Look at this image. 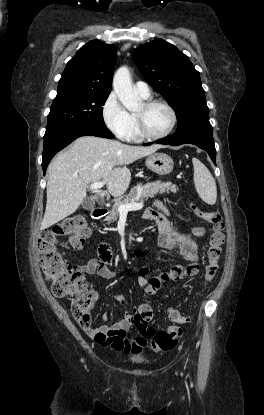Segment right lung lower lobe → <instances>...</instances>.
I'll return each mask as SVG.
<instances>
[{"label": "right lung lower lobe", "mask_w": 264, "mask_h": 415, "mask_svg": "<svg viewBox=\"0 0 264 415\" xmlns=\"http://www.w3.org/2000/svg\"><path fill=\"white\" fill-rule=\"evenodd\" d=\"M86 135H93L109 139L114 138V135L110 132L106 125H80L45 137L42 154V167L44 175L46 173L48 164L57 152L69 145L76 138Z\"/></svg>", "instance_id": "right-lung-lower-lobe-1"}]
</instances>
